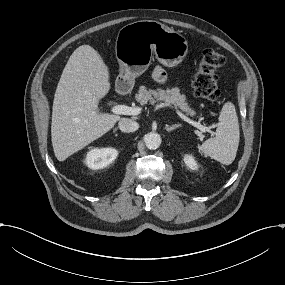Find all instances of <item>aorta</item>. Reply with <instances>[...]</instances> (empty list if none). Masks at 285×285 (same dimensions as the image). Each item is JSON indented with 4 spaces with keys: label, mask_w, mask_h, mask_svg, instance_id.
Wrapping results in <instances>:
<instances>
[{
    "label": "aorta",
    "mask_w": 285,
    "mask_h": 285,
    "mask_svg": "<svg viewBox=\"0 0 285 285\" xmlns=\"http://www.w3.org/2000/svg\"><path fill=\"white\" fill-rule=\"evenodd\" d=\"M144 141L149 149H157L161 144V136L156 132L147 133L144 136Z\"/></svg>",
    "instance_id": "1"
}]
</instances>
